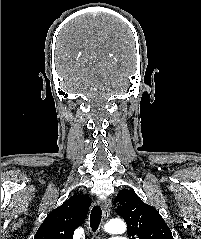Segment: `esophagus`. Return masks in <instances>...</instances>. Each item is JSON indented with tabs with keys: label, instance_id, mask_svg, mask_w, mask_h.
<instances>
[{
	"label": "esophagus",
	"instance_id": "1",
	"mask_svg": "<svg viewBox=\"0 0 201 239\" xmlns=\"http://www.w3.org/2000/svg\"><path fill=\"white\" fill-rule=\"evenodd\" d=\"M99 204L103 208L104 218L107 219L109 217L110 211H111V200L110 199L99 200Z\"/></svg>",
	"mask_w": 201,
	"mask_h": 239
}]
</instances>
